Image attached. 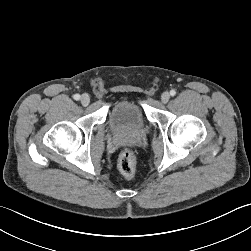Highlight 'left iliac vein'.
<instances>
[{"label": "left iliac vein", "instance_id": "4c4485c4", "mask_svg": "<svg viewBox=\"0 0 251 251\" xmlns=\"http://www.w3.org/2000/svg\"><path fill=\"white\" fill-rule=\"evenodd\" d=\"M170 99V94L168 92H164L162 95H161V101L163 103H167Z\"/></svg>", "mask_w": 251, "mask_h": 251}]
</instances>
